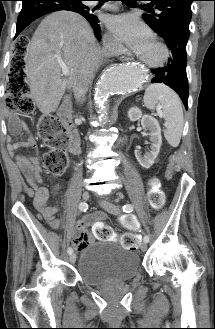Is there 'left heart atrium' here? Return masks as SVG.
Masks as SVG:
<instances>
[{"label": "left heart atrium", "instance_id": "left-heart-atrium-1", "mask_svg": "<svg viewBox=\"0 0 215 329\" xmlns=\"http://www.w3.org/2000/svg\"><path fill=\"white\" fill-rule=\"evenodd\" d=\"M108 25L116 40L139 54L153 43L150 29L134 15L124 14L113 17Z\"/></svg>", "mask_w": 215, "mask_h": 329}]
</instances>
